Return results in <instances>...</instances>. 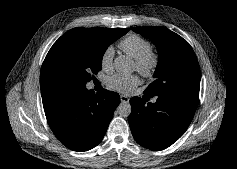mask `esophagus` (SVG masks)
<instances>
[{
	"label": "esophagus",
	"mask_w": 237,
	"mask_h": 169,
	"mask_svg": "<svg viewBox=\"0 0 237 169\" xmlns=\"http://www.w3.org/2000/svg\"><path fill=\"white\" fill-rule=\"evenodd\" d=\"M120 100L121 102L128 103L129 102V97L125 95H120Z\"/></svg>",
	"instance_id": "34e87169"
}]
</instances>
